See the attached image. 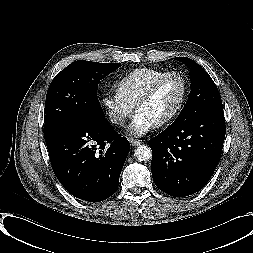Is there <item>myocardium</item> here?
<instances>
[{"label": "myocardium", "instance_id": "1", "mask_svg": "<svg viewBox=\"0 0 253 253\" xmlns=\"http://www.w3.org/2000/svg\"><path fill=\"white\" fill-rule=\"evenodd\" d=\"M170 76H176L181 80L183 88L182 97L180 99L179 104L174 109V111L171 114H169L166 118H164L162 121L158 122L156 124L157 127H163L171 124L182 113L187 103L189 95V84L186 76L181 71L177 70H169L164 72L148 85V87L145 89V91L142 93V95L135 104V110L137 111L143 104L147 103L152 98L159 85Z\"/></svg>", "mask_w": 253, "mask_h": 253}]
</instances>
